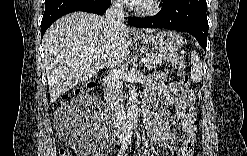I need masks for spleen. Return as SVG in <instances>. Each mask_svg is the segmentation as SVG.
Segmentation results:
<instances>
[{"mask_svg":"<svg viewBox=\"0 0 247 156\" xmlns=\"http://www.w3.org/2000/svg\"><path fill=\"white\" fill-rule=\"evenodd\" d=\"M191 80L194 83L202 80V62L195 51L191 52Z\"/></svg>","mask_w":247,"mask_h":156,"instance_id":"obj_1","label":"spleen"}]
</instances>
